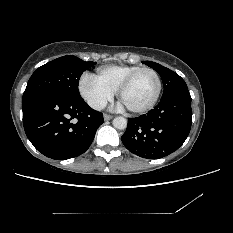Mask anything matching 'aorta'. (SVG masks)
<instances>
[{"mask_svg": "<svg viewBox=\"0 0 233 233\" xmlns=\"http://www.w3.org/2000/svg\"><path fill=\"white\" fill-rule=\"evenodd\" d=\"M113 126L117 129L124 130L127 127V120L124 117H115L113 119Z\"/></svg>", "mask_w": 233, "mask_h": 233, "instance_id": "obj_1", "label": "aorta"}]
</instances>
